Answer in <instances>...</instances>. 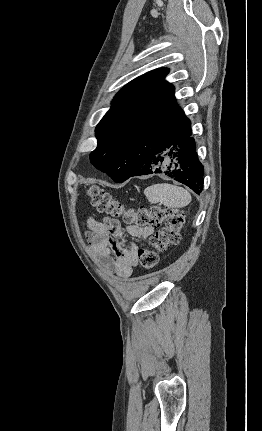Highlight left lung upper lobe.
I'll use <instances>...</instances> for the list:
<instances>
[{
    "instance_id": "obj_1",
    "label": "left lung upper lobe",
    "mask_w": 262,
    "mask_h": 431,
    "mask_svg": "<svg viewBox=\"0 0 262 431\" xmlns=\"http://www.w3.org/2000/svg\"><path fill=\"white\" fill-rule=\"evenodd\" d=\"M168 72L156 69L125 85L96 127L91 163L115 182L129 178L138 155L190 124L175 101L174 87L164 79Z\"/></svg>"
}]
</instances>
